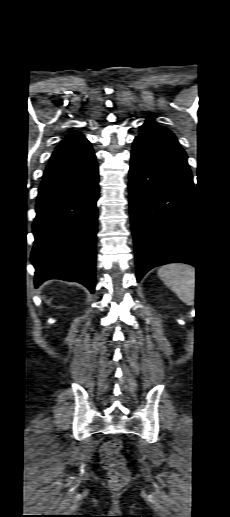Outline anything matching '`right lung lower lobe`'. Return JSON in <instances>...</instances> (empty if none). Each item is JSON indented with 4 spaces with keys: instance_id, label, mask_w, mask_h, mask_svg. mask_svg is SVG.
Masks as SVG:
<instances>
[{
    "instance_id": "98d812e1",
    "label": "right lung lower lobe",
    "mask_w": 230,
    "mask_h": 517,
    "mask_svg": "<svg viewBox=\"0 0 230 517\" xmlns=\"http://www.w3.org/2000/svg\"><path fill=\"white\" fill-rule=\"evenodd\" d=\"M98 182L93 162L72 176L41 183L32 226L36 287L48 279H63L94 292Z\"/></svg>"
}]
</instances>
